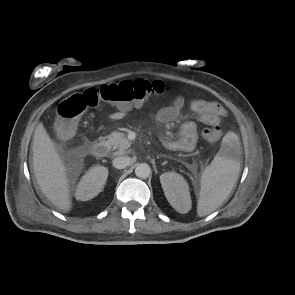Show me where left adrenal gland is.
I'll return each instance as SVG.
<instances>
[{"instance_id":"1","label":"left adrenal gland","mask_w":295,"mask_h":295,"mask_svg":"<svg viewBox=\"0 0 295 295\" xmlns=\"http://www.w3.org/2000/svg\"><path fill=\"white\" fill-rule=\"evenodd\" d=\"M162 156H164V157H169V156H167V155H162ZM167 163V161H165L164 163H162L163 165H165Z\"/></svg>"}]
</instances>
